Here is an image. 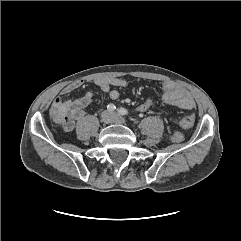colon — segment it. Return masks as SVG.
<instances>
[{
	"label": "colon",
	"mask_w": 241,
	"mask_h": 241,
	"mask_svg": "<svg viewBox=\"0 0 241 241\" xmlns=\"http://www.w3.org/2000/svg\"><path fill=\"white\" fill-rule=\"evenodd\" d=\"M154 108V103L152 100H145L137 106V111L140 113L151 112ZM51 118L53 122L62 127L63 129L69 127L73 123V116L69 107L64 106L60 100H57L51 109ZM195 123V117L193 115H188L180 120V126L182 128H190ZM183 140V135L180 132H176L172 136V141L179 143Z\"/></svg>",
	"instance_id": "obj_1"
}]
</instances>
